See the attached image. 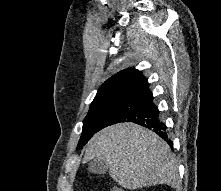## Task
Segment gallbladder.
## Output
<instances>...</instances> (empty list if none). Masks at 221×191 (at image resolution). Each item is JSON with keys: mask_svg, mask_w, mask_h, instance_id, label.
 <instances>
[{"mask_svg": "<svg viewBox=\"0 0 221 191\" xmlns=\"http://www.w3.org/2000/svg\"><path fill=\"white\" fill-rule=\"evenodd\" d=\"M108 170V166L103 160H99L98 158H94L88 164V171L94 174L102 175L106 173Z\"/></svg>", "mask_w": 221, "mask_h": 191, "instance_id": "gallbladder-1", "label": "gallbladder"}]
</instances>
